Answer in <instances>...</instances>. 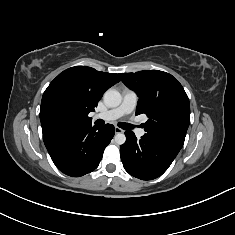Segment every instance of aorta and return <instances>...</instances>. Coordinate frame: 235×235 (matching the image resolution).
<instances>
[{"mask_svg": "<svg viewBox=\"0 0 235 235\" xmlns=\"http://www.w3.org/2000/svg\"><path fill=\"white\" fill-rule=\"evenodd\" d=\"M122 96L115 89H109L104 93V103L111 108L117 107L121 104ZM115 143L122 145L126 141V137L123 133H118L114 137Z\"/></svg>", "mask_w": 235, "mask_h": 235, "instance_id": "obj_1", "label": "aorta"}]
</instances>
